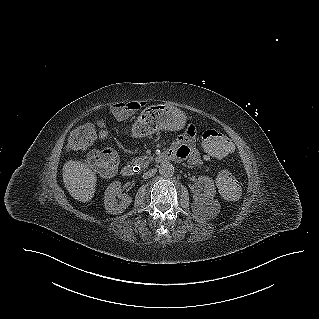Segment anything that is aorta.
Returning a JSON list of instances; mask_svg holds the SVG:
<instances>
[{
  "label": "aorta",
  "mask_w": 319,
  "mask_h": 319,
  "mask_svg": "<svg viewBox=\"0 0 319 319\" xmlns=\"http://www.w3.org/2000/svg\"><path fill=\"white\" fill-rule=\"evenodd\" d=\"M159 172L162 176L170 177L174 174V167L170 162H163L159 166Z\"/></svg>",
  "instance_id": "1"
}]
</instances>
